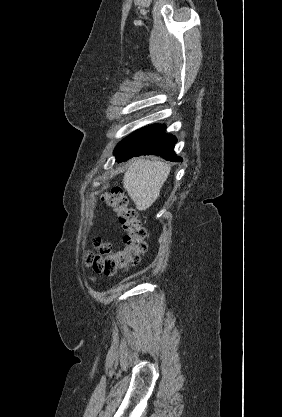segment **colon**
Listing matches in <instances>:
<instances>
[{
  "label": "colon",
  "instance_id": "5ec220e1",
  "mask_svg": "<svg viewBox=\"0 0 282 417\" xmlns=\"http://www.w3.org/2000/svg\"><path fill=\"white\" fill-rule=\"evenodd\" d=\"M103 198L123 233V247L114 252L111 243L96 238L93 242L100 253L88 252L85 263L95 272L114 275L139 263L145 252V230L136 210L129 207L127 197L120 187L105 189Z\"/></svg>",
  "mask_w": 282,
  "mask_h": 417
}]
</instances>
